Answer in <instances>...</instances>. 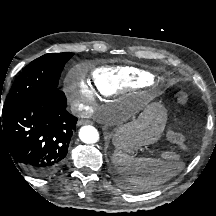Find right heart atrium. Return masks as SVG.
Returning a JSON list of instances; mask_svg holds the SVG:
<instances>
[{"label": "right heart atrium", "mask_w": 216, "mask_h": 216, "mask_svg": "<svg viewBox=\"0 0 216 216\" xmlns=\"http://www.w3.org/2000/svg\"><path fill=\"white\" fill-rule=\"evenodd\" d=\"M64 88L69 99L78 110L89 111L95 105L96 92L84 79L69 75L65 80Z\"/></svg>", "instance_id": "1"}]
</instances>
